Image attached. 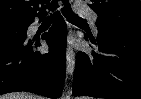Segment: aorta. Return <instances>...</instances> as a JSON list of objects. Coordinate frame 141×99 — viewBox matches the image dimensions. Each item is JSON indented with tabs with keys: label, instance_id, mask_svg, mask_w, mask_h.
<instances>
[{
	"label": "aorta",
	"instance_id": "obj_1",
	"mask_svg": "<svg viewBox=\"0 0 141 99\" xmlns=\"http://www.w3.org/2000/svg\"><path fill=\"white\" fill-rule=\"evenodd\" d=\"M62 99H67V96H64V94L62 95Z\"/></svg>",
	"mask_w": 141,
	"mask_h": 99
}]
</instances>
